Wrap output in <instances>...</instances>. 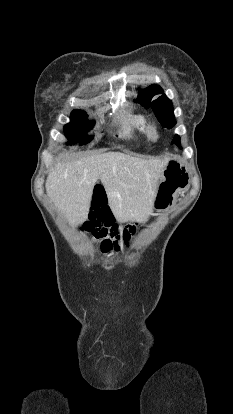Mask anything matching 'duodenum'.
<instances>
[{
    "label": "duodenum",
    "mask_w": 233,
    "mask_h": 414,
    "mask_svg": "<svg viewBox=\"0 0 233 414\" xmlns=\"http://www.w3.org/2000/svg\"><path fill=\"white\" fill-rule=\"evenodd\" d=\"M102 182L100 181L99 183L94 185V190L93 193L95 194L94 197V202L91 205V210L93 212H108L110 210V205L107 203V197L104 194L105 190L103 189V185L101 184Z\"/></svg>",
    "instance_id": "410a0bca"
}]
</instances>
